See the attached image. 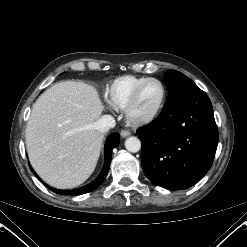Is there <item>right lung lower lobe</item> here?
<instances>
[{"mask_svg":"<svg viewBox=\"0 0 247 247\" xmlns=\"http://www.w3.org/2000/svg\"><path fill=\"white\" fill-rule=\"evenodd\" d=\"M119 140H120V135L118 133H113L111 134L107 140H106V144H105V165L101 171V173L99 174V176L90 184L83 186L81 188L78 189H74V190H58V189H54L50 186H48L47 184H45L39 177L38 175L35 173V171L32 169V167L30 166L31 171L34 173V175L50 190L58 193V194H62V195H81V194H85L88 192L93 191L94 189H96L106 178L108 171H109V167H110V162H111V156H112V149L114 147H116L119 144Z\"/></svg>","mask_w":247,"mask_h":247,"instance_id":"obj_1","label":"right lung lower lobe"}]
</instances>
